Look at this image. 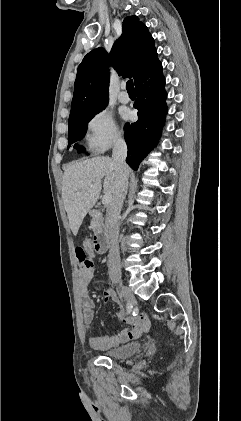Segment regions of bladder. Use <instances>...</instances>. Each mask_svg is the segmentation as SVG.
Listing matches in <instances>:
<instances>
[{"label":"bladder","mask_w":241,"mask_h":421,"mask_svg":"<svg viewBox=\"0 0 241 421\" xmlns=\"http://www.w3.org/2000/svg\"><path fill=\"white\" fill-rule=\"evenodd\" d=\"M141 349L142 345L140 343L133 342L109 349L104 352L103 356L113 360H125L139 353Z\"/></svg>","instance_id":"1"}]
</instances>
